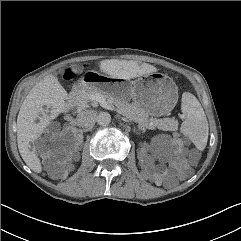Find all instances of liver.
<instances>
[{
	"label": "liver",
	"mask_w": 241,
	"mask_h": 241,
	"mask_svg": "<svg viewBox=\"0 0 241 241\" xmlns=\"http://www.w3.org/2000/svg\"><path fill=\"white\" fill-rule=\"evenodd\" d=\"M100 70L109 77L130 80L157 71L153 65L136 61L108 59L100 62ZM67 93L54 76H47L38 82L23 101L17 117V143L24 162L34 171H42L37 155L30 150V143L35 141L49 124V118L39 117L46 109L52 108L57 114L66 109ZM45 107V108H44ZM37 117L40 122L36 123Z\"/></svg>",
	"instance_id": "6515ba94"
}]
</instances>
